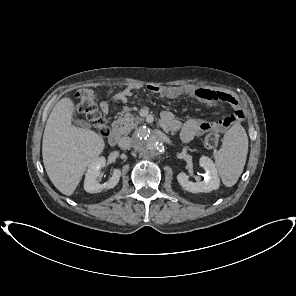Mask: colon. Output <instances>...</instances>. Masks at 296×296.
Listing matches in <instances>:
<instances>
[{
	"label": "colon",
	"instance_id": "colon-1",
	"mask_svg": "<svg viewBox=\"0 0 296 296\" xmlns=\"http://www.w3.org/2000/svg\"><path fill=\"white\" fill-rule=\"evenodd\" d=\"M78 104L77 110L93 128H95L102 136L108 135V126L102 116V107L96 101V94L92 89L83 88L77 92ZM220 137L218 133H208L204 138V145L207 148H215L219 143Z\"/></svg>",
	"mask_w": 296,
	"mask_h": 296
}]
</instances>
